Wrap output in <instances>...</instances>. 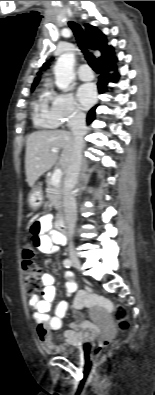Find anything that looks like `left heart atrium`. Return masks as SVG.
Wrapping results in <instances>:
<instances>
[{
	"instance_id": "obj_1",
	"label": "left heart atrium",
	"mask_w": 155,
	"mask_h": 395,
	"mask_svg": "<svg viewBox=\"0 0 155 395\" xmlns=\"http://www.w3.org/2000/svg\"><path fill=\"white\" fill-rule=\"evenodd\" d=\"M78 99L84 108L90 107L96 99V89L94 85H82L78 90Z\"/></svg>"
}]
</instances>
